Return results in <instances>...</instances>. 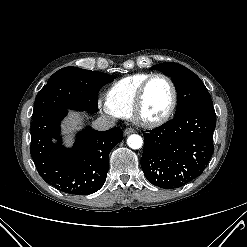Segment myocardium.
Segmentation results:
<instances>
[{
  "mask_svg": "<svg viewBox=\"0 0 247 247\" xmlns=\"http://www.w3.org/2000/svg\"><path fill=\"white\" fill-rule=\"evenodd\" d=\"M155 78H164L165 80L168 81L171 87V90H172V101H171V105L169 109L163 116H161L158 119L149 120V119H145L144 117H142L141 111H142V107L144 103L146 89L149 83ZM177 101H178V92H177L176 85L174 81L172 80V78L164 73H153L142 82V84L140 85L137 91L134 104H133V108H132V113H131L132 119L135 123H137L138 125L142 127L156 128L166 123L171 118V116L173 115L176 109Z\"/></svg>",
  "mask_w": 247,
  "mask_h": 247,
  "instance_id": "myocardium-1",
  "label": "myocardium"
}]
</instances>
